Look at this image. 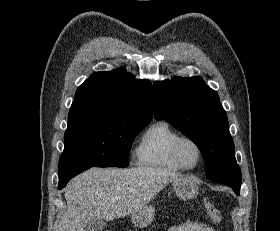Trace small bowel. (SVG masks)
<instances>
[{
  "mask_svg": "<svg viewBox=\"0 0 280 231\" xmlns=\"http://www.w3.org/2000/svg\"><path fill=\"white\" fill-rule=\"evenodd\" d=\"M169 231H215L212 226L201 221L185 220L169 228Z\"/></svg>",
  "mask_w": 280,
  "mask_h": 231,
  "instance_id": "c3829d8e",
  "label": "small bowel"
}]
</instances>
